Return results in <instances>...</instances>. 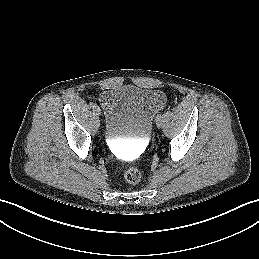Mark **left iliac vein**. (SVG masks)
Here are the masks:
<instances>
[{"label":"left iliac vein","mask_w":259,"mask_h":259,"mask_svg":"<svg viewBox=\"0 0 259 259\" xmlns=\"http://www.w3.org/2000/svg\"><path fill=\"white\" fill-rule=\"evenodd\" d=\"M157 126L158 127H161L162 126V124H161V122L159 121V122H157Z\"/></svg>","instance_id":"obj_1"}]
</instances>
